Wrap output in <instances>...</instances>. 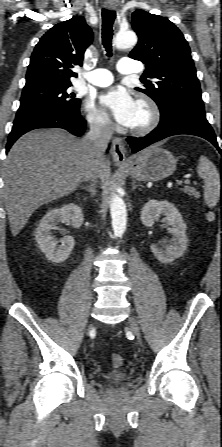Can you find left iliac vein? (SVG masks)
Instances as JSON below:
<instances>
[{"mask_svg": "<svg viewBox=\"0 0 222 447\" xmlns=\"http://www.w3.org/2000/svg\"><path fill=\"white\" fill-rule=\"evenodd\" d=\"M129 325H130V329L133 332V334L136 337V340L139 344H141V337H140V330H139V326H138V322L135 319V317L130 316L128 319Z\"/></svg>", "mask_w": 222, "mask_h": 447, "instance_id": "4c4485c4", "label": "left iliac vein"}]
</instances>
